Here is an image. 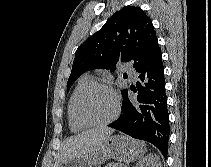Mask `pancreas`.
Masks as SVG:
<instances>
[{
  "mask_svg": "<svg viewBox=\"0 0 211 167\" xmlns=\"http://www.w3.org/2000/svg\"><path fill=\"white\" fill-rule=\"evenodd\" d=\"M105 167H124L122 164H115V163H112V164H107V166Z\"/></svg>",
  "mask_w": 211,
  "mask_h": 167,
  "instance_id": "cf45deb5",
  "label": "pancreas"
}]
</instances>
